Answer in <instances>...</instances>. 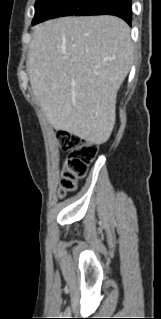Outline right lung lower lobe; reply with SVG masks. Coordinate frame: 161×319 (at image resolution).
Returning <instances> with one entry per match:
<instances>
[{
    "label": "right lung lower lobe",
    "mask_w": 161,
    "mask_h": 319,
    "mask_svg": "<svg viewBox=\"0 0 161 319\" xmlns=\"http://www.w3.org/2000/svg\"><path fill=\"white\" fill-rule=\"evenodd\" d=\"M131 1L132 0H93L78 16L114 15L122 18L131 25Z\"/></svg>",
    "instance_id": "right-lung-lower-lobe-1"
}]
</instances>
